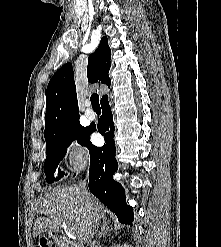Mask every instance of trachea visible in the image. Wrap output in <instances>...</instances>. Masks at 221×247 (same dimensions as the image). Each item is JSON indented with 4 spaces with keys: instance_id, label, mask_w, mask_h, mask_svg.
Listing matches in <instances>:
<instances>
[{
    "instance_id": "1",
    "label": "trachea",
    "mask_w": 221,
    "mask_h": 247,
    "mask_svg": "<svg viewBox=\"0 0 221 247\" xmlns=\"http://www.w3.org/2000/svg\"><path fill=\"white\" fill-rule=\"evenodd\" d=\"M91 100V104H92V108L94 110H101L100 108V103H99V96L98 94H93L90 98Z\"/></svg>"
}]
</instances>
